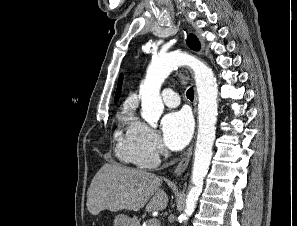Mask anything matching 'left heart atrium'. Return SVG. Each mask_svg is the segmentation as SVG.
Segmentation results:
<instances>
[{"instance_id":"1","label":"left heart atrium","mask_w":297,"mask_h":226,"mask_svg":"<svg viewBox=\"0 0 297 226\" xmlns=\"http://www.w3.org/2000/svg\"><path fill=\"white\" fill-rule=\"evenodd\" d=\"M163 140L171 150H181L189 142L193 132V122L186 111H174L163 117Z\"/></svg>"}]
</instances>
